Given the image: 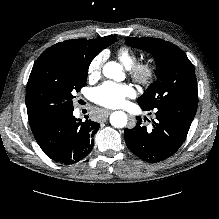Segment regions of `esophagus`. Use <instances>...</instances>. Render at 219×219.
Returning <instances> with one entry per match:
<instances>
[{
    "label": "esophagus",
    "instance_id": "1",
    "mask_svg": "<svg viewBox=\"0 0 219 219\" xmlns=\"http://www.w3.org/2000/svg\"><path fill=\"white\" fill-rule=\"evenodd\" d=\"M105 115H104V120H105V118L108 116V115H110L111 113H112V110H105Z\"/></svg>",
    "mask_w": 219,
    "mask_h": 219
}]
</instances>
